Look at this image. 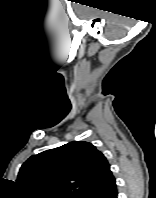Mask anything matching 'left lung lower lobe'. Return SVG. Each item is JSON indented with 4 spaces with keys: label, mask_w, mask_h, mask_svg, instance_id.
Wrapping results in <instances>:
<instances>
[{
    "label": "left lung lower lobe",
    "mask_w": 156,
    "mask_h": 198,
    "mask_svg": "<svg viewBox=\"0 0 156 198\" xmlns=\"http://www.w3.org/2000/svg\"><path fill=\"white\" fill-rule=\"evenodd\" d=\"M116 181L112 173L96 190L90 192L85 198H117Z\"/></svg>",
    "instance_id": "0a47b994"
}]
</instances>
